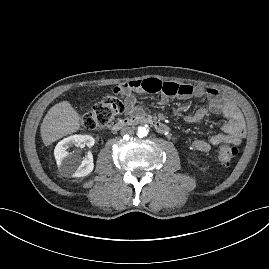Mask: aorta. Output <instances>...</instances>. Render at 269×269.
Masks as SVG:
<instances>
[{
	"label": "aorta",
	"instance_id": "762f6f07",
	"mask_svg": "<svg viewBox=\"0 0 269 269\" xmlns=\"http://www.w3.org/2000/svg\"><path fill=\"white\" fill-rule=\"evenodd\" d=\"M148 132H149V130H148V127L147 126H140L137 129V135L139 137H141V138L147 136L148 135Z\"/></svg>",
	"mask_w": 269,
	"mask_h": 269
}]
</instances>
